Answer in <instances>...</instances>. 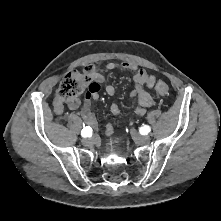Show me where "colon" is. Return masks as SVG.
Masks as SVG:
<instances>
[{
	"label": "colon",
	"mask_w": 221,
	"mask_h": 221,
	"mask_svg": "<svg viewBox=\"0 0 221 221\" xmlns=\"http://www.w3.org/2000/svg\"><path fill=\"white\" fill-rule=\"evenodd\" d=\"M90 83L91 80L87 73L74 70L61 81L57 96L62 101L77 98L86 88H90ZM155 91L160 96H166L169 87L166 82L159 80L155 84Z\"/></svg>",
	"instance_id": "colon-1"
}]
</instances>
